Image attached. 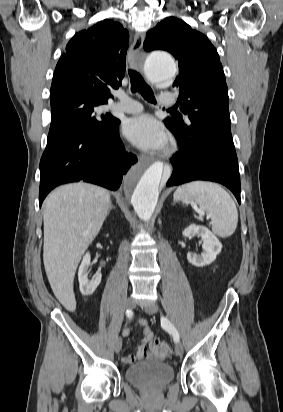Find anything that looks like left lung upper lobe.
<instances>
[{
  "mask_svg": "<svg viewBox=\"0 0 283 412\" xmlns=\"http://www.w3.org/2000/svg\"><path fill=\"white\" fill-rule=\"evenodd\" d=\"M143 46L146 51L166 50L178 60L179 75L174 86L179 88L180 109L189 121L167 118L165 125L172 130L193 131L208 150L237 157L225 75L217 50L207 37L170 17L147 33Z\"/></svg>",
  "mask_w": 283,
  "mask_h": 412,
  "instance_id": "1",
  "label": "left lung upper lobe"
}]
</instances>
